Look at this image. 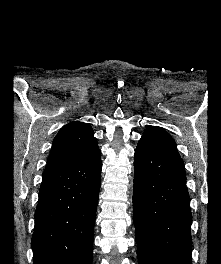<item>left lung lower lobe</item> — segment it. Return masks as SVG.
<instances>
[{
  "instance_id": "left-lung-lower-lobe-1",
  "label": "left lung lower lobe",
  "mask_w": 221,
  "mask_h": 264,
  "mask_svg": "<svg viewBox=\"0 0 221 264\" xmlns=\"http://www.w3.org/2000/svg\"><path fill=\"white\" fill-rule=\"evenodd\" d=\"M133 212L139 264H192V215L181 157L139 141Z\"/></svg>"
}]
</instances>
